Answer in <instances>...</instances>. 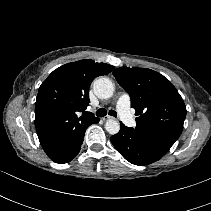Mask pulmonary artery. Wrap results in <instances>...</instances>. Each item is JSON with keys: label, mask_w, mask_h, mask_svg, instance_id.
Here are the masks:
<instances>
[{"label": "pulmonary artery", "mask_w": 211, "mask_h": 211, "mask_svg": "<svg viewBox=\"0 0 211 211\" xmlns=\"http://www.w3.org/2000/svg\"><path fill=\"white\" fill-rule=\"evenodd\" d=\"M130 104H131L130 96L127 93H123L119 96L117 100L116 109L124 124L129 127H133L135 126L136 122L131 113Z\"/></svg>", "instance_id": "1"}]
</instances>
